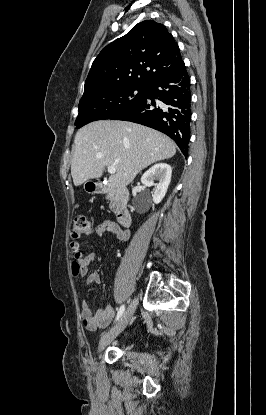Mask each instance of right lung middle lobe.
Listing matches in <instances>:
<instances>
[{"instance_id": "dd1d6c3e", "label": "right lung middle lobe", "mask_w": 266, "mask_h": 415, "mask_svg": "<svg viewBox=\"0 0 266 415\" xmlns=\"http://www.w3.org/2000/svg\"><path fill=\"white\" fill-rule=\"evenodd\" d=\"M147 90V87L121 86L82 98L75 125L81 128L96 120L110 119L139 103L145 97Z\"/></svg>"}]
</instances>
